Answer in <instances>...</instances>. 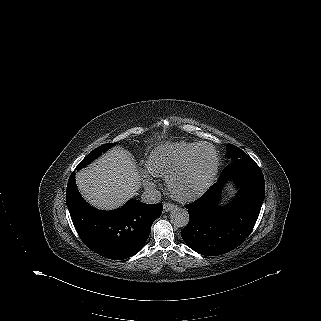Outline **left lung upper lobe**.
I'll list each match as a JSON object with an SVG mask.
<instances>
[{"label":"left lung upper lobe","instance_id":"left-lung-upper-lobe-1","mask_svg":"<svg viewBox=\"0 0 321 321\" xmlns=\"http://www.w3.org/2000/svg\"><path fill=\"white\" fill-rule=\"evenodd\" d=\"M226 157L230 159L231 162L238 160L240 158H250L246 153H244L241 149L238 147L227 144L226 145Z\"/></svg>","mask_w":321,"mask_h":321}]
</instances>
